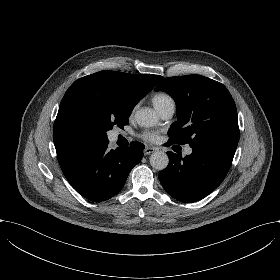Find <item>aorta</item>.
Returning a JSON list of instances; mask_svg holds the SVG:
<instances>
[{"mask_svg":"<svg viewBox=\"0 0 280 280\" xmlns=\"http://www.w3.org/2000/svg\"><path fill=\"white\" fill-rule=\"evenodd\" d=\"M137 124L144 128L154 127L159 123V117L151 108H141L135 113ZM169 163L168 155L163 151H156L150 156V165L158 170H164Z\"/></svg>","mask_w":280,"mask_h":280,"instance_id":"obj_1","label":"aorta"}]
</instances>
